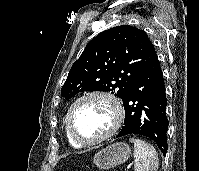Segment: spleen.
Returning a JSON list of instances; mask_svg holds the SVG:
<instances>
[{"mask_svg": "<svg viewBox=\"0 0 199 171\" xmlns=\"http://www.w3.org/2000/svg\"><path fill=\"white\" fill-rule=\"evenodd\" d=\"M134 144L135 171H157L159 159L155 148L147 142L130 138Z\"/></svg>", "mask_w": 199, "mask_h": 171, "instance_id": "obj_1", "label": "spleen"}]
</instances>
